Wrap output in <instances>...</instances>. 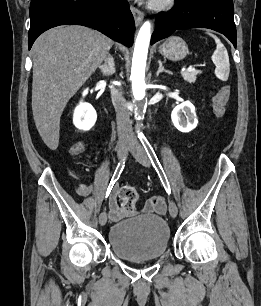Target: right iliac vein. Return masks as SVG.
I'll use <instances>...</instances> for the list:
<instances>
[{"mask_svg":"<svg viewBox=\"0 0 261 306\" xmlns=\"http://www.w3.org/2000/svg\"><path fill=\"white\" fill-rule=\"evenodd\" d=\"M127 145H128V141L127 140H121L118 143V147H117V155L119 160L122 162L125 160L126 156H127ZM107 222V214L105 211L101 212L99 215V223L101 226H104Z\"/></svg>","mask_w":261,"mask_h":306,"instance_id":"63e3f726","label":"right iliac vein"}]
</instances>
